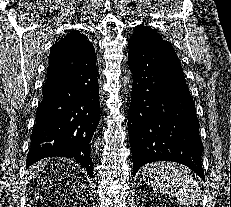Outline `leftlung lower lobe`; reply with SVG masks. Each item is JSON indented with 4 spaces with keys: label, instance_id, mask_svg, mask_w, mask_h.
Returning <instances> with one entry per match:
<instances>
[{
    "label": "left lung lower lobe",
    "instance_id": "1",
    "mask_svg": "<svg viewBox=\"0 0 231 207\" xmlns=\"http://www.w3.org/2000/svg\"><path fill=\"white\" fill-rule=\"evenodd\" d=\"M128 45L134 80L128 115L133 176L144 164L173 161L204 180L195 103L173 47Z\"/></svg>",
    "mask_w": 231,
    "mask_h": 207
}]
</instances>
